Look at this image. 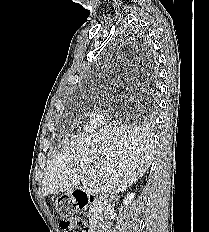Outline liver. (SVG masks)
I'll return each instance as SVG.
<instances>
[{
	"instance_id": "1",
	"label": "liver",
	"mask_w": 209,
	"mask_h": 232,
	"mask_svg": "<svg viewBox=\"0 0 209 232\" xmlns=\"http://www.w3.org/2000/svg\"><path fill=\"white\" fill-rule=\"evenodd\" d=\"M153 139L145 129L107 126L71 141L54 155L42 180V196L80 188L112 198L149 169Z\"/></svg>"
}]
</instances>
